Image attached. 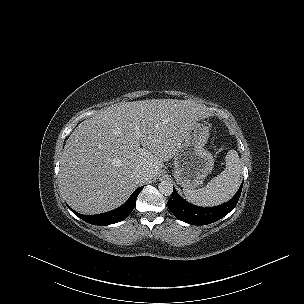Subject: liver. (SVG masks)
Segmentation results:
<instances>
[{
    "instance_id": "6515ba94",
    "label": "liver",
    "mask_w": 304,
    "mask_h": 304,
    "mask_svg": "<svg viewBox=\"0 0 304 304\" xmlns=\"http://www.w3.org/2000/svg\"><path fill=\"white\" fill-rule=\"evenodd\" d=\"M207 116L206 108L194 101L152 99L120 102L84 120L67 139L60 159L67 203L90 215L119 207L159 174L190 127ZM138 170L148 172L147 180L137 177Z\"/></svg>"
}]
</instances>
